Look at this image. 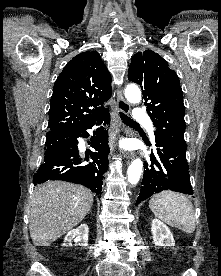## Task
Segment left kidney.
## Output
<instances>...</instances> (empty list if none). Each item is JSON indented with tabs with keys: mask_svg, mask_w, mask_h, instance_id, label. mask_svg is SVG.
Returning a JSON list of instances; mask_svg holds the SVG:
<instances>
[{
	"mask_svg": "<svg viewBox=\"0 0 221 276\" xmlns=\"http://www.w3.org/2000/svg\"><path fill=\"white\" fill-rule=\"evenodd\" d=\"M151 232L155 246H174L175 241L170 229L159 219H153Z\"/></svg>",
	"mask_w": 221,
	"mask_h": 276,
	"instance_id": "5707ae66",
	"label": "left kidney"
}]
</instances>
